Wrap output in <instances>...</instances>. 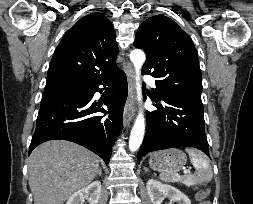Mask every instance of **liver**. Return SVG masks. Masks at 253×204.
I'll list each match as a JSON object with an SVG mask.
<instances>
[{"label": "liver", "instance_id": "liver-1", "mask_svg": "<svg viewBox=\"0 0 253 204\" xmlns=\"http://www.w3.org/2000/svg\"><path fill=\"white\" fill-rule=\"evenodd\" d=\"M97 156L75 143L47 141L29 157V187L34 204H64L99 172Z\"/></svg>", "mask_w": 253, "mask_h": 204}]
</instances>
